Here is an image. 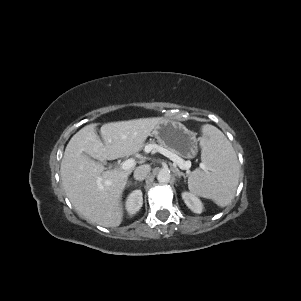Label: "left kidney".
I'll list each match as a JSON object with an SVG mask.
<instances>
[{
    "mask_svg": "<svg viewBox=\"0 0 301 301\" xmlns=\"http://www.w3.org/2000/svg\"><path fill=\"white\" fill-rule=\"evenodd\" d=\"M182 199L184 200L187 207L194 213L200 214L202 212V202L193 193L183 192Z\"/></svg>",
    "mask_w": 301,
    "mask_h": 301,
    "instance_id": "left-kidney-1",
    "label": "left kidney"
}]
</instances>
